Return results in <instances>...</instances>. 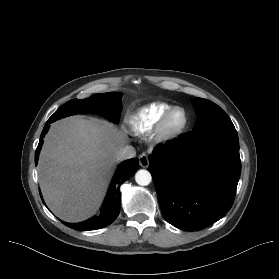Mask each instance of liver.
Masks as SVG:
<instances>
[{
    "mask_svg": "<svg viewBox=\"0 0 279 279\" xmlns=\"http://www.w3.org/2000/svg\"><path fill=\"white\" fill-rule=\"evenodd\" d=\"M113 124L72 116L51 125L44 138L38 176L51 211L67 222H80L99 208L125 145Z\"/></svg>",
    "mask_w": 279,
    "mask_h": 279,
    "instance_id": "1",
    "label": "liver"
}]
</instances>
